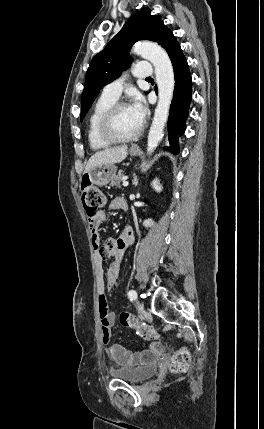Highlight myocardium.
<instances>
[{
  "label": "myocardium",
  "instance_id": "obj_1",
  "mask_svg": "<svg viewBox=\"0 0 264 429\" xmlns=\"http://www.w3.org/2000/svg\"><path fill=\"white\" fill-rule=\"evenodd\" d=\"M128 107V104L123 101H117L113 105H111L108 110L104 113L102 116L100 122H99V135L100 137L109 142V143H126L131 142L140 137L144 130V125L141 123L139 129L131 136L128 137H120L116 135L113 131L112 125L114 118L117 114V112L122 109Z\"/></svg>",
  "mask_w": 264,
  "mask_h": 429
}]
</instances>
